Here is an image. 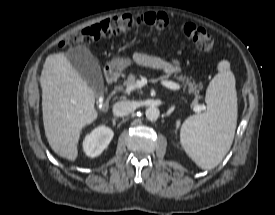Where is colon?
Listing matches in <instances>:
<instances>
[{
  "instance_id": "1",
  "label": "colon",
  "mask_w": 275,
  "mask_h": 215,
  "mask_svg": "<svg viewBox=\"0 0 275 215\" xmlns=\"http://www.w3.org/2000/svg\"><path fill=\"white\" fill-rule=\"evenodd\" d=\"M173 25L174 21L161 12H148L140 15H116L68 35L59 45L61 47H69L79 43L89 44L103 38L126 33L137 27H148L158 31H164ZM181 30L185 37L195 44L199 50L204 52L214 51V38L204 28L193 23H186L181 26Z\"/></svg>"
}]
</instances>
